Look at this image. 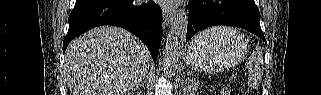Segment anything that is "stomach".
<instances>
[{"instance_id":"stomach-1","label":"stomach","mask_w":321,"mask_h":95,"mask_svg":"<svg viewBox=\"0 0 321 95\" xmlns=\"http://www.w3.org/2000/svg\"><path fill=\"white\" fill-rule=\"evenodd\" d=\"M248 40L236 30L217 38L196 36L189 44L186 63L198 71L218 72L246 56Z\"/></svg>"}]
</instances>
